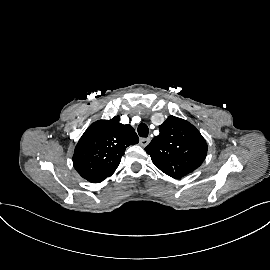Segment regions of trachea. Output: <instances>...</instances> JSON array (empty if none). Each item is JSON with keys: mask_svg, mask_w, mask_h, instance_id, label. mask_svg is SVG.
<instances>
[{"mask_svg": "<svg viewBox=\"0 0 270 270\" xmlns=\"http://www.w3.org/2000/svg\"><path fill=\"white\" fill-rule=\"evenodd\" d=\"M149 133V128L145 123H140L138 126V134L140 137L146 138Z\"/></svg>", "mask_w": 270, "mask_h": 270, "instance_id": "3493384b", "label": "trachea"}]
</instances>
